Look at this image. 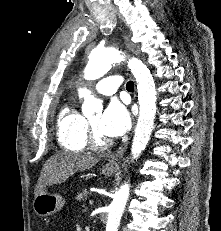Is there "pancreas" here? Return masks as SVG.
I'll use <instances>...</instances> for the list:
<instances>
[{
	"label": "pancreas",
	"mask_w": 221,
	"mask_h": 231,
	"mask_svg": "<svg viewBox=\"0 0 221 231\" xmlns=\"http://www.w3.org/2000/svg\"><path fill=\"white\" fill-rule=\"evenodd\" d=\"M87 195H88V191H87V190H83V191H81V192H79V193L77 194V196L75 197V199H76L77 201H79V202L85 201L86 198H87Z\"/></svg>",
	"instance_id": "obj_1"
}]
</instances>
